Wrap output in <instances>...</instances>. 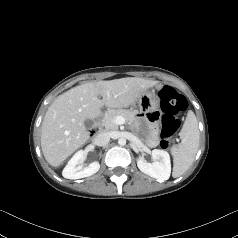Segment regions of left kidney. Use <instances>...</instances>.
Listing matches in <instances>:
<instances>
[{"label": "left kidney", "instance_id": "obj_1", "mask_svg": "<svg viewBox=\"0 0 238 238\" xmlns=\"http://www.w3.org/2000/svg\"><path fill=\"white\" fill-rule=\"evenodd\" d=\"M153 163H148L144 158L137 159V166L141 172L159 180H168L171 174L170 155L167 151L152 150Z\"/></svg>", "mask_w": 238, "mask_h": 238}]
</instances>
